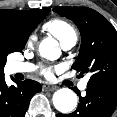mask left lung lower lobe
I'll list each match as a JSON object with an SVG mask.
<instances>
[{"mask_svg":"<svg viewBox=\"0 0 117 117\" xmlns=\"http://www.w3.org/2000/svg\"><path fill=\"white\" fill-rule=\"evenodd\" d=\"M79 104L71 114H58L57 117H110L117 106V87L107 85H87L86 96L80 92Z\"/></svg>","mask_w":117,"mask_h":117,"instance_id":"0a47b994","label":"left lung lower lobe"}]
</instances>
